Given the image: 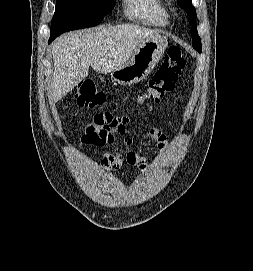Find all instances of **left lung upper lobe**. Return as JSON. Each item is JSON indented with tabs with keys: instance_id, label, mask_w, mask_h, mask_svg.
Returning <instances> with one entry per match:
<instances>
[{
	"instance_id": "1",
	"label": "left lung upper lobe",
	"mask_w": 253,
	"mask_h": 271,
	"mask_svg": "<svg viewBox=\"0 0 253 271\" xmlns=\"http://www.w3.org/2000/svg\"><path fill=\"white\" fill-rule=\"evenodd\" d=\"M178 5L186 11V13L189 15V23L192 25V46L194 49H196L198 52L202 51L201 46V39L197 33V26H196V10L194 6L192 5L191 0H178Z\"/></svg>"
}]
</instances>
